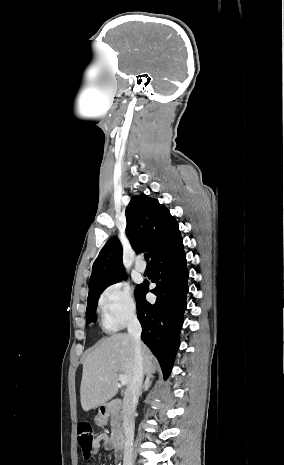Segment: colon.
<instances>
[{
    "label": "colon",
    "mask_w": 284,
    "mask_h": 465,
    "mask_svg": "<svg viewBox=\"0 0 284 465\" xmlns=\"http://www.w3.org/2000/svg\"><path fill=\"white\" fill-rule=\"evenodd\" d=\"M77 433L81 448V456L84 460H89L95 442V436L91 424L88 422L80 423L78 425Z\"/></svg>",
    "instance_id": "5ec220e1"
}]
</instances>
